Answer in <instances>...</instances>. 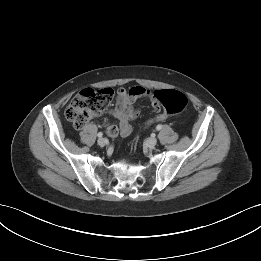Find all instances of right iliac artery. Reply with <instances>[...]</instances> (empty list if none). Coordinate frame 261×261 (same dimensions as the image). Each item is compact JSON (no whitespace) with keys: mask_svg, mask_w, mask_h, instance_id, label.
<instances>
[{"mask_svg":"<svg viewBox=\"0 0 261 261\" xmlns=\"http://www.w3.org/2000/svg\"><path fill=\"white\" fill-rule=\"evenodd\" d=\"M97 136H98L99 138H101V137L103 136V133H102V132H99V133L97 134Z\"/></svg>","mask_w":261,"mask_h":261,"instance_id":"right-iliac-artery-1","label":"right iliac artery"}]
</instances>
